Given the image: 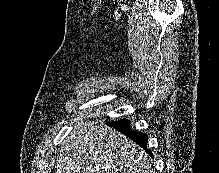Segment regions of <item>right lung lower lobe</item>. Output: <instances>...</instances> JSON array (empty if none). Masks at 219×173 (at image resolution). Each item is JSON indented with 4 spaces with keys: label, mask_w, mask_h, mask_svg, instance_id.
<instances>
[{
    "label": "right lung lower lobe",
    "mask_w": 219,
    "mask_h": 173,
    "mask_svg": "<svg viewBox=\"0 0 219 173\" xmlns=\"http://www.w3.org/2000/svg\"><path fill=\"white\" fill-rule=\"evenodd\" d=\"M108 125L116 128L118 131L122 132L124 135L128 136L130 139L138 143L142 148L146 149L147 135L143 133L136 132L130 128V122L123 119L114 122H108ZM148 152L152 155L151 151Z\"/></svg>",
    "instance_id": "right-lung-lower-lobe-1"
}]
</instances>
